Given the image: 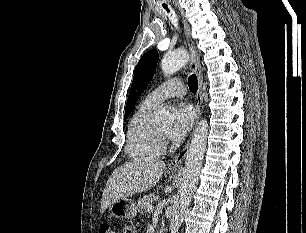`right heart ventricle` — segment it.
Here are the masks:
<instances>
[{"label": "right heart ventricle", "instance_id": "right-heart-ventricle-1", "mask_svg": "<svg viewBox=\"0 0 306 233\" xmlns=\"http://www.w3.org/2000/svg\"><path fill=\"white\" fill-rule=\"evenodd\" d=\"M155 108L156 105L144 100L130 119L125 150L133 160L155 159L163 150L158 130L152 123V114Z\"/></svg>", "mask_w": 306, "mask_h": 233}]
</instances>
